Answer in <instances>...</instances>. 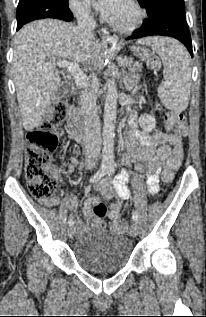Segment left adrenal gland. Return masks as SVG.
I'll use <instances>...</instances> for the list:
<instances>
[{
  "label": "left adrenal gland",
  "mask_w": 206,
  "mask_h": 317,
  "mask_svg": "<svg viewBox=\"0 0 206 317\" xmlns=\"http://www.w3.org/2000/svg\"><path fill=\"white\" fill-rule=\"evenodd\" d=\"M122 76H123L124 88L127 91H130V90L135 91L137 89L135 76L127 75L125 71H123Z\"/></svg>",
  "instance_id": "left-adrenal-gland-1"
}]
</instances>
